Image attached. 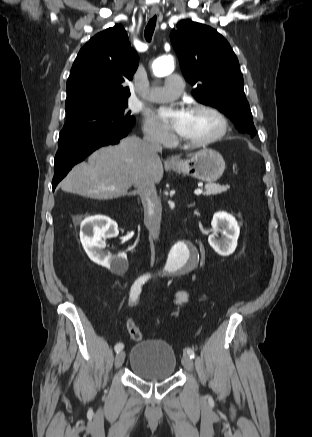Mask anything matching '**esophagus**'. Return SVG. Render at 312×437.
Segmentation results:
<instances>
[{
	"label": "esophagus",
	"mask_w": 312,
	"mask_h": 437,
	"mask_svg": "<svg viewBox=\"0 0 312 437\" xmlns=\"http://www.w3.org/2000/svg\"><path fill=\"white\" fill-rule=\"evenodd\" d=\"M155 14H156V12H151V13H150V16L153 17ZM167 162H168L169 164H174V163L177 162V160H176L174 157H169V158L167 159Z\"/></svg>",
	"instance_id": "obj_1"
}]
</instances>
